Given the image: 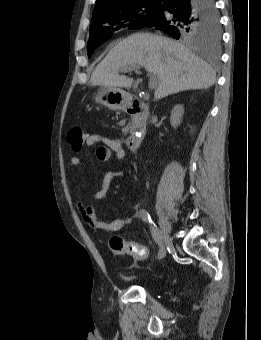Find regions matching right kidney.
<instances>
[{
  "instance_id": "right-kidney-1",
  "label": "right kidney",
  "mask_w": 261,
  "mask_h": 340,
  "mask_svg": "<svg viewBox=\"0 0 261 340\" xmlns=\"http://www.w3.org/2000/svg\"><path fill=\"white\" fill-rule=\"evenodd\" d=\"M184 113V108L183 105H175L174 108L171 111V116H170V123L171 126L176 129L178 125H180L182 121V116Z\"/></svg>"
}]
</instances>
